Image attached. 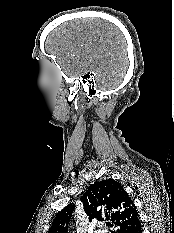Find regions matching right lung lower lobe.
<instances>
[{"instance_id": "98d812e1", "label": "right lung lower lobe", "mask_w": 174, "mask_h": 233, "mask_svg": "<svg viewBox=\"0 0 174 233\" xmlns=\"http://www.w3.org/2000/svg\"><path fill=\"white\" fill-rule=\"evenodd\" d=\"M131 233H142V229H141V225L138 226L136 229H134L133 231H131Z\"/></svg>"}]
</instances>
